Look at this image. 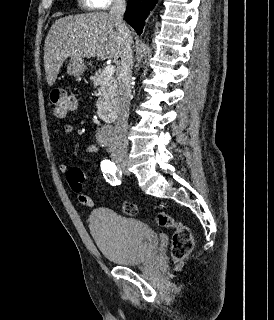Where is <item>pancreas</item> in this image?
<instances>
[{
  "label": "pancreas",
  "mask_w": 274,
  "mask_h": 320,
  "mask_svg": "<svg viewBox=\"0 0 274 320\" xmlns=\"http://www.w3.org/2000/svg\"><path fill=\"white\" fill-rule=\"evenodd\" d=\"M91 80H93L94 88H97L100 94L96 104L98 110H101V112L113 110L118 104L117 80L113 76L103 74L102 70L95 72V76H91Z\"/></svg>",
  "instance_id": "obj_1"
}]
</instances>
